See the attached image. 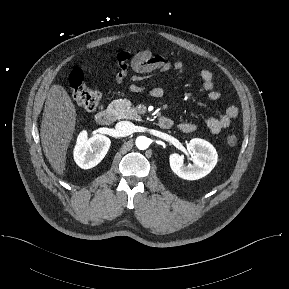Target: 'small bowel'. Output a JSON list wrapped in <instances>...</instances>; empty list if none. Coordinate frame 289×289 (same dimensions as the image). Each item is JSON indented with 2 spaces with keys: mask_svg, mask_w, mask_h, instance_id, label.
Here are the masks:
<instances>
[{
  "mask_svg": "<svg viewBox=\"0 0 289 289\" xmlns=\"http://www.w3.org/2000/svg\"><path fill=\"white\" fill-rule=\"evenodd\" d=\"M118 72L115 80L121 84L128 76L129 68L137 74H149L155 71H167L173 68L179 78H184L190 73V69L182 61L174 63L166 61L163 56L155 55L150 50H141L136 53L130 51H122L117 55ZM199 78L202 82V91L210 100H218L221 97V92L215 89L214 77L211 71L202 70L199 73ZM131 80L134 82L130 85V90L133 92H140L143 86L136 84L141 80L138 75L132 76ZM164 94V89L161 87H154L150 91V95L154 98H160ZM238 107L231 105L227 108L226 112L219 117H210L206 120L205 124L207 129L212 134H218L222 130L230 126L232 120L238 115ZM178 128L185 132L191 133L196 130V125L190 122H181Z\"/></svg>",
  "mask_w": 289,
  "mask_h": 289,
  "instance_id": "1",
  "label": "small bowel"
}]
</instances>
